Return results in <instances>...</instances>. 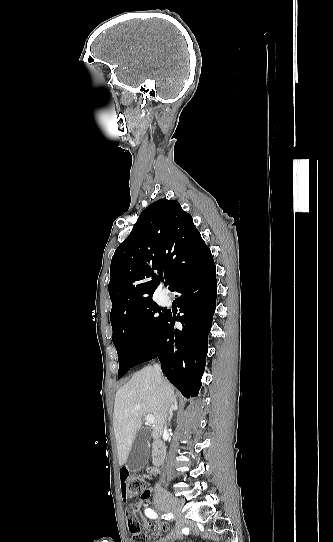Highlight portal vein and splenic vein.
Listing matches in <instances>:
<instances>
[{
  "mask_svg": "<svg viewBox=\"0 0 333 542\" xmlns=\"http://www.w3.org/2000/svg\"><path fill=\"white\" fill-rule=\"evenodd\" d=\"M145 420L146 424H155V418L152 416V414H147Z\"/></svg>",
  "mask_w": 333,
  "mask_h": 542,
  "instance_id": "18ae733b",
  "label": "portal vein and splenic vein"
}]
</instances>
